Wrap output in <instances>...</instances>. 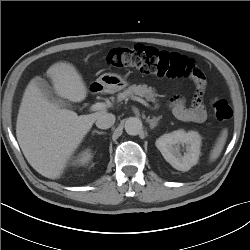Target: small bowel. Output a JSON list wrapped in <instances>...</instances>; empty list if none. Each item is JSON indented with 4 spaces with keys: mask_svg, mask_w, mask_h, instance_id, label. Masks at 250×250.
<instances>
[{
    "mask_svg": "<svg viewBox=\"0 0 250 250\" xmlns=\"http://www.w3.org/2000/svg\"><path fill=\"white\" fill-rule=\"evenodd\" d=\"M169 106L174 115L180 120L201 123L207 119V112L202 100H194L193 105L187 107L181 98L173 97Z\"/></svg>",
    "mask_w": 250,
    "mask_h": 250,
    "instance_id": "small-bowel-1",
    "label": "small bowel"
}]
</instances>
